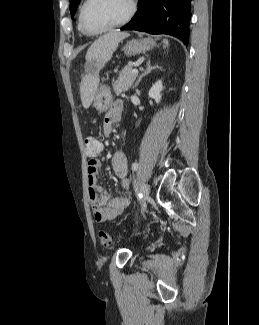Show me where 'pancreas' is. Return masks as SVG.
Listing matches in <instances>:
<instances>
[{
  "mask_svg": "<svg viewBox=\"0 0 259 325\" xmlns=\"http://www.w3.org/2000/svg\"><path fill=\"white\" fill-rule=\"evenodd\" d=\"M132 65H126L119 74L118 79L114 82V91L116 95L128 91L135 81L137 74L132 73Z\"/></svg>",
  "mask_w": 259,
  "mask_h": 325,
  "instance_id": "cf45deb5",
  "label": "pancreas"
}]
</instances>
